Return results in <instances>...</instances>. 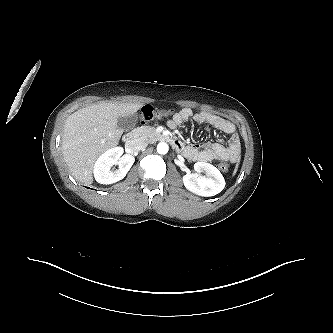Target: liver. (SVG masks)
Segmentation results:
<instances>
[{"instance_id": "1", "label": "liver", "mask_w": 333, "mask_h": 333, "mask_svg": "<svg viewBox=\"0 0 333 333\" xmlns=\"http://www.w3.org/2000/svg\"><path fill=\"white\" fill-rule=\"evenodd\" d=\"M143 103L100 102L79 109L65 120L62 133L63 159L74 178L90 185L97 158L115 147L123 133L117 127L120 116L137 112Z\"/></svg>"}]
</instances>
